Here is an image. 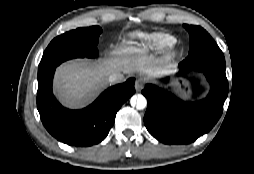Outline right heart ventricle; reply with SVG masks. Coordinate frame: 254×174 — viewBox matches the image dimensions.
Instances as JSON below:
<instances>
[{
    "mask_svg": "<svg viewBox=\"0 0 254 174\" xmlns=\"http://www.w3.org/2000/svg\"><path fill=\"white\" fill-rule=\"evenodd\" d=\"M175 42L176 38L166 32H135L130 34L129 50L140 55L162 52L174 45Z\"/></svg>",
    "mask_w": 254,
    "mask_h": 174,
    "instance_id": "e07e8e85",
    "label": "right heart ventricle"
}]
</instances>
